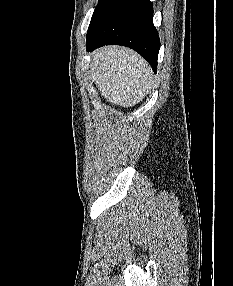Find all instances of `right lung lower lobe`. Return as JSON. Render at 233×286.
Returning <instances> with one entry per match:
<instances>
[{
    "label": "right lung lower lobe",
    "mask_w": 233,
    "mask_h": 286,
    "mask_svg": "<svg viewBox=\"0 0 233 286\" xmlns=\"http://www.w3.org/2000/svg\"><path fill=\"white\" fill-rule=\"evenodd\" d=\"M110 44L132 48L156 73L160 41L150 0H103L97 6L86 36L87 50Z\"/></svg>",
    "instance_id": "obj_1"
}]
</instances>
